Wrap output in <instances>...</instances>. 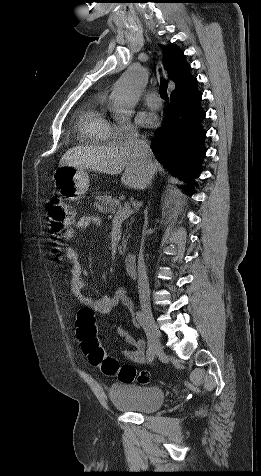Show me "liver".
<instances>
[{"instance_id": "6515ba94", "label": "liver", "mask_w": 261, "mask_h": 476, "mask_svg": "<svg viewBox=\"0 0 261 476\" xmlns=\"http://www.w3.org/2000/svg\"><path fill=\"white\" fill-rule=\"evenodd\" d=\"M154 171L148 173L141 162L124 146H77L69 149L60 159L59 166L90 169L109 175L121 174V183L133 189H144L154 174L162 172L161 164L153 157Z\"/></svg>"}]
</instances>
